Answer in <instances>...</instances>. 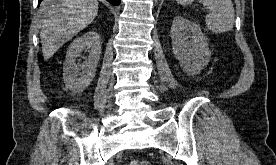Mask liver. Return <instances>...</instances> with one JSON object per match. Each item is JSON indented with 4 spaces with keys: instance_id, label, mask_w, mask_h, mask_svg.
<instances>
[{
    "instance_id": "6515ba94",
    "label": "liver",
    "mask_w": 276,
    "mask_h": 165,
    "mask_svg": "<svg viewBox=\"0 0 276 165\" xmlns=\"http://www.w3.org/2000/svg\"><path fill=\"white\" fill-rule=\"evenodd\" d=\"M97 0H44L40 5V38L45 60L97 16Z\"/></svg>"
}]
</instances>
